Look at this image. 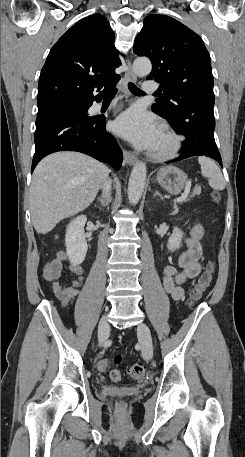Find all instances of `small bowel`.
<instances>
[{
    "instance_id": "c3829d8e",
    "label": "small bowel",
    "mask_w": 245,
    "mask_h": 457,
    "mask_svg": "<svg viewBox=\"0 0 245 457\" xmlns=\"http://www.w3.org/2000/svg\"><path fill=\"white\" fill-rule=\"evenodd\" d=\"M203 233L202 225H195L191 230L190 237L185 241L187 249L180 255L177 267L168 265L163 269V288L175 300L183 297V285L185 282L195 278L201 271L199 260L202 255V247L200 240ZM66 260L65 252L59 251L46 262L43 268L44 279L50 284L53 294L63 306H67L72 302V299L78 294L83 280V269L75 263H69L68 265V270L75 275V278L69 282L60 280Z\"/></svg>"
}]
</instances>
